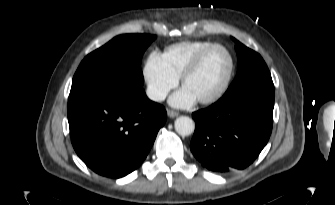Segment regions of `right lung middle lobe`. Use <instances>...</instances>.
Listing matches in <instances>:
<instances>
[{"label":"right lung middle lobe","instance_id":"obj_1","mask_svg":"<svg viewBox=\"0 0 335 205\" xmlns=\"http://www.w3.org/2000/svg\"><path fill=\"white\" fill-rule=\"evenodd\" d=\"M155 38L148 34L119 35L87 55L73 77L69 99L93 92L142 90L141 59Z\"/></svg>","mask_w":335,"mask_h":205}]
</instances>
